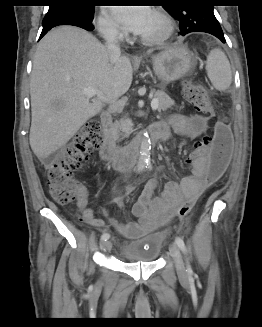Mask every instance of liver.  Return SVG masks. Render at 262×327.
Instances as JSON below:
<instances>
[{
    "mask_svg": "<svg viewBox=\"0 0 262 327\" xmlns=\"http://www.w3.org/2000/svg\"><path fill=\"white\" fill-rule=\"evenodd\" d=\"M132 79L130 59H112L92 34L72 26L50 31L37 47L30 80L29 141L38 159L63 147L105 102L124 95ZM85 88L98 95L90 100Z\"/></svg>",
    "mask_w": 262,
    "mask_h": 327,
    "instance_id": "1",
    "label": "liver"
}]
</instances>
